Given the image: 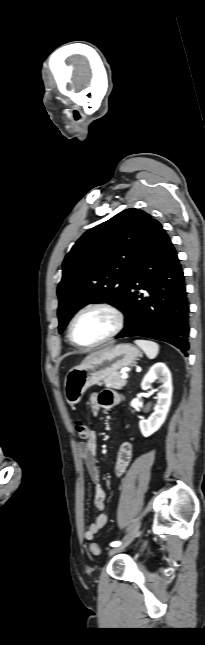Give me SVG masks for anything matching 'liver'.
Wrapping results in <instances>:
<instances>
[{"mask_svg":"<svg viewBox=\"0 0 205 645\" xmlns=\"http://www.w3.org/2000/svg\"><path fill=\"white\" fill-rule=\"evenodd\" d=\"M111 348H112V346H110V347H106V348H104V349H102V350H99V351H96V352H94V353L90 354L89 356H87V357L83 360L82 364H83V363H85V362H87V361H89L90 359L94 358L95 356H97V355H99V354H102L103 352H106V351L110 350Z\"/></svg>","mask_w":205,"mask_h":645,"instance_id":"liver-1","label":"liver"}]
</instances>
